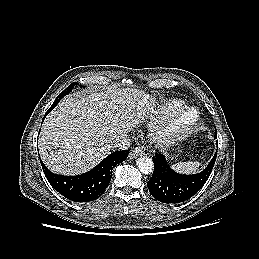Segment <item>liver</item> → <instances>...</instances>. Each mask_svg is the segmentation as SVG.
I'll list each match as a JSON object with an SVG mask.
<instances>
[{"instance_id":"obj_1","label":"liver","mask_w":259,"mask_h":259,"mask_svg":"<svg viewBox=\"0 0 259 259\" xmlns=\"http://www.w3.org/2000/svg\"><path fill=\"white\" fill-rule=\"evenodd\" d=\"M154 107V98L132 88L68 95L42 125V161L57 174L87 172L110 154L116 140L154 113Z\"/></svg>"}]
</instances>
